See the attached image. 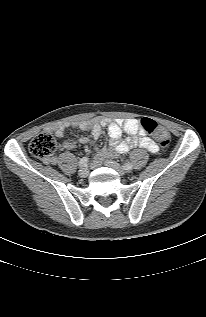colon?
Segmentation results:
<instances>
[{"label":"colon","instance_id":"1","mask_svg":"<svg viewBox=\"0 0 206 317\" xmlns=\"http://www.w3.org/2000/svg\"><path fill=\"white\" fill-rule=\"evenodd\" d=\"M143 130L152 135L162 145H168L170 135L168 131L155 120L143 118L141 120ZM57 149V142L54 136L48 132H42L35 136L29 143V152L40 159H50Z\"/></svg>","mask_w":206,"mask_h":317}]
</instances>
